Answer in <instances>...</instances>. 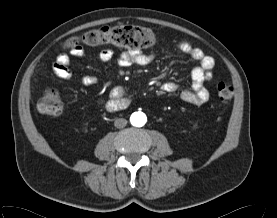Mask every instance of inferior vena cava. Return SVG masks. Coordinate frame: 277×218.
Masks as SVG:
<instances>
[{
	"label": "inferior vena cava",
	"instance_id": "602c4592",
	"mask_svg": "<svg viewBox=\"0 0 277 218\" xmlns=\"http://www.w3.org/2000/svg\"><path fill=\"white\" fill-rule=\"evenodd\" d=\"M127 125V120L124 119V118H119V119H116L115 122H114V126L116 128H123Z\"/></svg>",
	"mask_w": 277,
	"mask_h": 218
}]
</instances>
